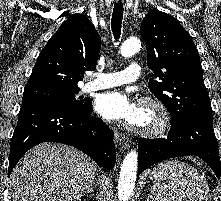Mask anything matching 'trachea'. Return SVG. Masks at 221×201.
I'll return each instance as SVG.
<instances>
[{
    "label": "trachea",
    "instance_id": "1",
    "mask_svg": "<svg viewBox=\"0 0 221 201\" xmlns=\"http://www.w3.org/2000/svg\"><path fill=\"white\" fill-rule=\"evenodd\" d=\"M123 4L118 2L114 4L112 19H111V28L114 35V38L118 40L121 35V26L123 19Z\"/></svg>",
    "mask_w": 221,
    "mask_h": 201
}]
</instances>
